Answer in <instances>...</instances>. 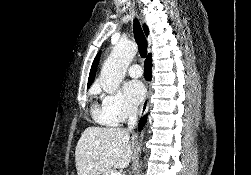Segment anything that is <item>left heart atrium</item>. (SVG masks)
Listing matches in <instances>:
<instances>
[{
	"mask_svg": "<svg viewBox=\"0 0 251 175\" xmlns=\"http://www.w3.org/2000/svg\"><path fill=\"white\" fill-rule=\"evenodd\" d=\"M124 93L129 103L137 104L145 96V87L140 80H130L124 86Z\"/></svg>",
	"mask_w": 251,
	"mask_h": 175,
	"instance_id": "39dd6f15",
	"label": "left heart atrium"
}]
</instances>
